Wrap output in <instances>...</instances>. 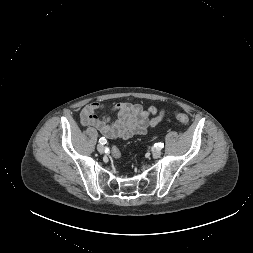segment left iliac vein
Here are the masks:
<instances>
[{"instance_id":"left-iliac-vein-1","label":"left iliac vein","mask_w":253,"mask_h":253,"mask_svg":"<svg viewBox=\"0 0 253 253\" xmlns=\"http://www.w3.org/2000/svg\"><path fill=\"white\" fill-rule=\"evenodd\" d=\"M160 155H161V148H156L153 152H152V156L154 157V158H158V157H160Z\"/></svg>"}]
</instances>
